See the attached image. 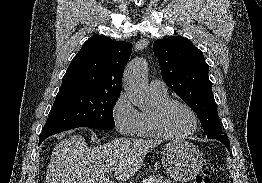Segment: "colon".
I'll return each instance as SVG.
<instances>
[{
	"instance_id": "colon-1",
	"label": "colon",
	"mask_w": 262,
	"mask_h": 183,
	"mask_svg": "<svg viewBox=\"0 0 262 183\" xmlns=\"http://www.w3.org/2000/svg\"><path fill=\"white\" fill-rule=\"evenodd\" d=\"M196 183H211V174L209 171L201 172L197 178Z\"/></svg>"
}]
</instances>
